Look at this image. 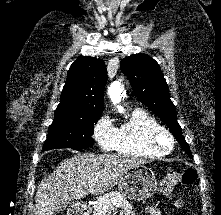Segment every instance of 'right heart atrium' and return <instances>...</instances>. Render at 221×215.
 I'll use <instances>...</instances> for the list:
<instances>
[{"label":"right heart atrium","mask_w":221,"mask_h":215,"mask_svg":"<svg viewBox=\"0 0 221 215\" xmlns=\"http://www.w3.org/2000/svg\"><path fill=\"white\" fill-rule=\"evenodd\" d=\"M117 128L109 116L104 113L100 116L93 128V137L103 151L114 149Z\"/></svg>","instance_id":"obj_1"}]
</instances>
